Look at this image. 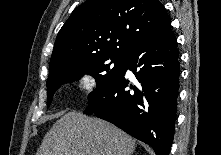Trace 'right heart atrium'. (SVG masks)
<instances>
[{
	"label": "right heart atrium",
	"instance_id": "d8ad5b80",
	"mask_svg": "<svg viewBox=\"0 0 221 155\" xmlns=\"http://www.w3.org/2000/svg\"><path fill=\"white\" fill-rule=\"evenodd\" d=\"M78 86L83 91H86V92L92 91L95 87V79L90 74H83L78 79Z\"/></svg>",
	"mask_w": 221,
	"mask_h": 155
}]
</instances>
